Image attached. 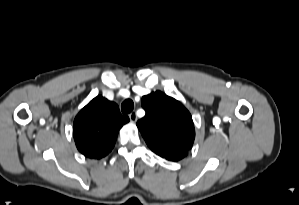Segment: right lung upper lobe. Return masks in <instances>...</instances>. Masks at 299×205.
<instances>
[{"label": "right lung upper lobe", "instance_id": "1", "mask_svg": "<svg viewBox=\"0 0 299 205\" xmlns=\"http://www.w3.org/2000/svg\"><path fill=\"white\" fill-rule=\"evenodd\" d=\"M128 121L116 103L101 95L95 97L74 120L73 136L78 150L88 158L106 156L114 147L119 129Z\"/></svg>", "mask_w": 299, "mask_h": 205}]
</instances>
